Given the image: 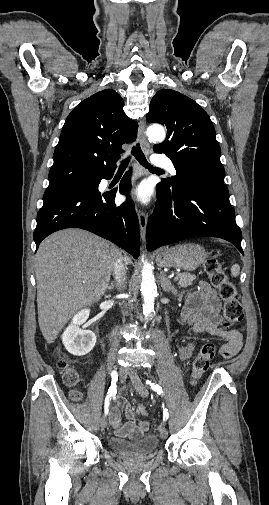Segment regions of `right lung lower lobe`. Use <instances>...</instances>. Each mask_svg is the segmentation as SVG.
I'll return each instance as SVG.
<instances>
[{
  "mask_svg": "<svg viewBox=\"0 0 269 505\" xmlns=\"http://www.w3.org/2000/svg\"><path fill=\"white\" fill-rule=\"evenodd\" d=\"M114 172V171H113ZM113 172L90 180L89 186L64 187L46 191L43 206L37 214L34 231L36 248L51 233L65 228H81L93 232L129 252L139 256V223L131 200L115 205L114 193H100L101 179H109ZM130 172L119 186L120 192L131 188Z\"/></svg>",
  "mask_w": 269,
  "mask_h": 505,
  "instance_id": "98d812e1",
  "label": "right lung lower lobe"
}]
</instances>
